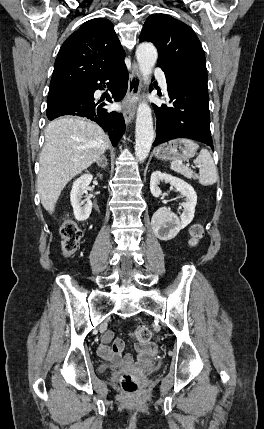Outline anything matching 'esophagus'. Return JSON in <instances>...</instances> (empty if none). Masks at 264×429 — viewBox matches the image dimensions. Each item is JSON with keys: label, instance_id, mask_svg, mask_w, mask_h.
I'll return each mask as SVG.
<instances>
[{"label": "esophagus", "instance_id": "1", "mask_svg": "<svg viewBox=\"0 0 264 429\" xmlns=\"http://www.w3.org/2000/svg\"><path fill=\"white\" fill-rule=\"evenodd\" d=\"M140 87L141 80L138 65L133 63L128 81V90L124 100L123 116L126 124H130L135 117L136 104L134 99L140 93Z\"/></svg>", "mask_w": 264, "mask_h": 429}]
</instances>
